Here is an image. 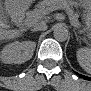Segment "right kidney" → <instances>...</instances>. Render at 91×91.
<instances>
[{"label":"right kidney","instance_id":"ca27d5eb","mask_svg":"<svg viewBox=\"0 0 91 91\" xmlns=\"http://www.w3.org/2000/svg\"><path fill=\"white\" fill-rule=\"evenodd\" d=\"M35 47L36 43L32 41L12 42L2 49L1 61L6 64L24 63L32 57Z\"/></svg>","mask_w":91,"mask_h":91}]
</instances>
